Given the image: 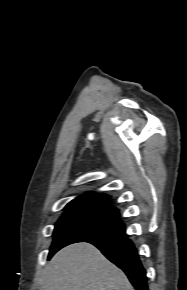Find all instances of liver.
<instances>
[{"instance_id": "1", "label": "liver", "mask_w": 187, "mask_h": 290, "mask_svg": "<svg viewBox=\"0 0 187 290\" xmlns=\"http://www.w3.org/2000/svg\"><path fill=\"white\" fill-rule=\"evenodd\" d=\"M44 290H134L126 275L89 243L57 252L48 264Z\"/></svg>"}]
</instances>
